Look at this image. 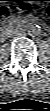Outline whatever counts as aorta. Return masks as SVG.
<instances>
[{"label": "aorta", "mask_w": 50, "mask_h": 111, "mask_svg": "<svg viewBox=\"0 0 50 111\" xmlns=\"http://www.w3.org/2000/svg\"><path fill=\"white\" fill-rule=\"evenodd\" d=\"M27 32L30 36H37L40 34V26L36 24L29 25Z\"/></svg>", "instance_id": "obj_1"}]
</instances>
